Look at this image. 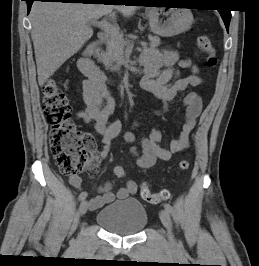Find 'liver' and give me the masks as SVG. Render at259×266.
I'll list each match as a JSON object with an SVG mask.
<instances>
[{"instance_id": "obj_1", "label": "liver", "mask_w": 259, "mask_h": 266, "mask_svg": "<svg viewBox=\"0 0 259 266\" xmlns=\"http://www.w3.org/2000/svg\"><path fill=\"white\" fill-rule=\"evenodd\" d=\"M136 8L125 5L34 2L30 13L31 38L39 86H43L92 37V20L103 15H109L114 20V9L129 17Z\"/></svg>"}]
</instances>
